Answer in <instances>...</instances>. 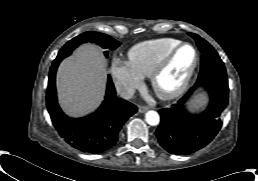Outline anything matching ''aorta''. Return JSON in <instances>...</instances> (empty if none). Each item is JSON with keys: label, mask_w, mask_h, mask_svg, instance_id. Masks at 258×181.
<instances>
[{"label": "aorta", "mask_w": 258, "mask_h": 181, "mask_svg": "<svg viewBox=\"0 0 258 181\" xmlns=\"http://www.w3.org/2000/svg\"><path fill=\"white\" fill-rule=\"evenodd\" d=\"M146 122L151 126H156L160 122V116L156 111L150 110L145 114Z\"/></svg>", "instance_id": "aorta-1"}]
</instances>
